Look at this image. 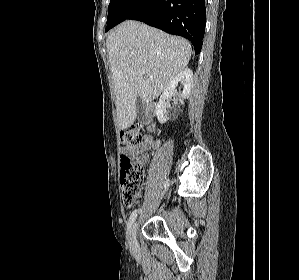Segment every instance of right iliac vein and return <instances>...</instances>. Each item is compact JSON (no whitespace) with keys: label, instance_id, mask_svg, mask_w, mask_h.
Segmentation results:
<instances>
[{"label":"right iliac vein","instance_id":"63e3f726","mask_svg":"<svg viewBox=\"0 0 299 280\" xmlns=\"http://www.w3.org/2000/svg\"><path fill=\"white\" fill-rule=\"evenodd\" d=\"M138 223L134 222L132 226L130 227L129 232V240H130V246L133 250L137 249V241H136V231H137Z\"/></svg>","mask_w":299,"mask_h":280}]
</instances>
